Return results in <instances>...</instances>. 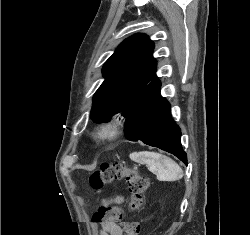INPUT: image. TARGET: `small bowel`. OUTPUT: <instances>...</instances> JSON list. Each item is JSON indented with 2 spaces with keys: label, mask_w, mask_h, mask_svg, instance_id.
I'll list each match as a JSON object with an SVG mask.
<instances>
[{
  "label": "small bowel",
  "mask_w": 250,
  "mask_h": 235,
  "mask_svg": "<svg viewBox=\"0 0 250 235\" xmlns=\"http://www.w3.org/2000/svg\"><path fill=\"white\" fill-rule=\"evenodd\" d=\"M123 202V196H116L114 198L104 200V203L122 204ZM99 235H123V230L119 225H101L99 228Z\"/></svg>",
  "instance_id": "small-bowel-1"
}]
</instances>
